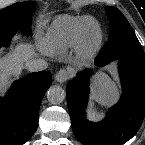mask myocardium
Returning <instances> with one entry per match:
<instances>
[{"label":"myocardium","instance_id":"f54148a6","mask_svg":"<svg viewBox=\"0 0 145 145\" xmlns=\"http://www.w3.org/2000/svg\"><path fill=\"white\" fill-rule=\"evenodd\" d=\"M103 34L99 25L94 26L84 35L78 49V58L81 61L91 59L100 48Z\"/></svg>","mask_w":145,"mask_h":145}]
</instances>
